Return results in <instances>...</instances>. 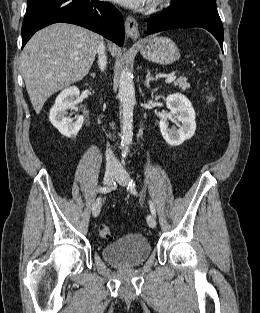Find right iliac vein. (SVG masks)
<instances>
[{"label": "right iliac vein", "mask_w": 260, "mask_h": 313, "mask_svg": "<svg viewBox=\"0 0 260 313\" xmlns=\"http://www.w3.org/2000/svg\"><path fill=\"white\" fill-rule=\"evenodd\" d=\"M116 170L114 168H107L104 174L103 184L109 186L112 184ZM101 210V197H98L92 207V214L97 217Z\"/></svg>", "instance_id": "63e3f726"}]
</instances>
